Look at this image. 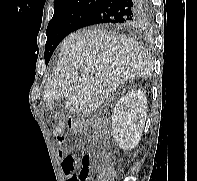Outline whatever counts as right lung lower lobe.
<instances>
[{
    "label": "right lung lower lobe",
    "instance_id": "right-lung-lower-lobe-1",
    "mask_svg": "<svg viewBox=\"0 0 197 181\" xmlns=\"http://www.w3.org/2000/svg\"><path fill=\"white\" fill-rule=\"evenodd\" d=\"M149 9L150 0H103L79 20L74 31L96 24L119 29L141 27L147 21Z\"/></svg>",
    "mask_w": 197,
    "mask_h": 181
}]
</instances>
